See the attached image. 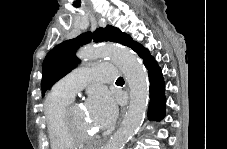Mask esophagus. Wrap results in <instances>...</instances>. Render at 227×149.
I'll list each match as a JSON object with an SVG mask.
<instances>
[{"label":"esophagus","mask_w":227,"mask_h":149,"mask_svg":"<svg viewBox=\"0 0 227 149\" xmlns=\"http://www.w3.org/2000/svg\"><path fill=\"white\" fill-rule=\"evenodd\" d=\"M125 115H126V112H125V111H122V112H121V115H120V120H119V122H120L122 119L125 118Z\"/></svg>","instance_id":"34e87169"}]
</instances>
